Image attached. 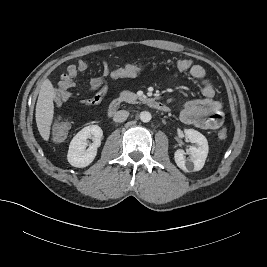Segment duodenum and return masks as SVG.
<instances>
[{"label": "duodenum", "mask_w": 267, "mask_h": 267, "mask_svg": "<svg viewBox=\"0 0 267 267\" xmlns=\"http://www.w3.org/2000/svg\"><path fill=\"white\" fill-rule=\"evenodd\" d=\"M121 104L122 103L120 100H113L107 108V114L109 116L114 115L120 109ZM147 104L151 108H153L157 111H160V112H168L169 111V107L166 104H164V103H162L156 99H147Z\"/></svg>", "instance_id": "obj_1"}]
</instances>
